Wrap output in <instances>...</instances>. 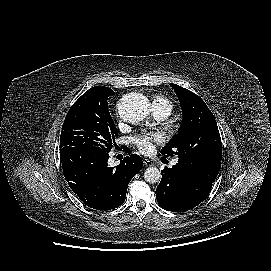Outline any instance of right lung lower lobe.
<instances>
[{
  "label": "right lung lower lobe",
  "instance_id": "obj_1",
  "mask_svg": "<svg viewBox=\"0 0 271 271\" xmlns=\"http://www.w3.org/2000/svg\"><path fill=\"white\" fill-rule=\"evenodd\" d=\"M60 159L72 191L85 205L96 210H110L122 205L130 180L143 165L140 156L132 154L117 167H108L109 153L73 146L61 147Z\"/></svg>",
  "mask_w": 271,
  "mask_h": 271
}]
</instances>
